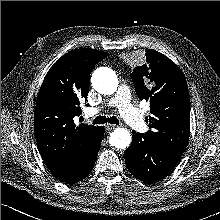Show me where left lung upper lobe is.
Instances as JSON below:
<instances>
[{
    "instance_id": "5c2ea615",
    "label": "left lung upper lobe",
    "mask_w": 220,
    "mask_h": 220,
    "mask_svg": "<svg viewBox=\"0 0 220 220\" xmlns=\"http://www.w3.org/2000/svg\"><path fill=\"white\" fill-rule=\"evenodd\" d=\"M140 100L150 102V130L145 133L162 145L183 153L190 133V102L183 72L164 54L146 51V64L131 74Z\"/></svg>"
}]
</instances>
